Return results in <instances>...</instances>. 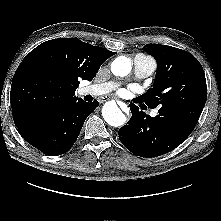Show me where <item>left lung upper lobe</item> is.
<instances>
[{
	"instance_id": "left-lung-upper-lobe-1",
	"label": "left lung upper lobe",
	"mask_w": 221,
	"mask_h": 221,
	"mask_svg": "<svg viewBox=\"0 0 221 221\" xmlns=\"http://www.w3.org/2000/svg\"><path fill=\"white\" fill-rule=\"evenodd\" d=\"M143 50L157 61L153 88L138 98L159 114L192 131L207 98L206 79L199 61L189 52L161 44H147Z\"/></svg>"
}]
</instances>
